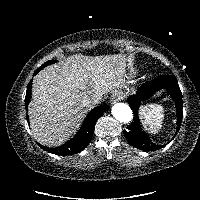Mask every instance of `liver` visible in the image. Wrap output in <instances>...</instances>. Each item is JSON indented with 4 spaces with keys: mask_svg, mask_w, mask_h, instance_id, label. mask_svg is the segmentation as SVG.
I'll list each match as a JSON object with an SVG mask.
<instances>
[{
    "mask_svg": "<svg viewBox=\"0 0 200 200\" xmlns=\"http://www.w3.org/2000/svg\"><path fill=\"white\" fill-rule=\"evenodd\" d=\"M126 62L122 54H76L40 71L33 80L28 108L34 138L48 146L67 141L87 112L84 96L99 103L105 93L125 87Z\"/></svg>",
    "mask_w": 200,
    "mask_h": 200,
    "instance_id": "liver-1",
    "label": "liver"
}]
</instances>
